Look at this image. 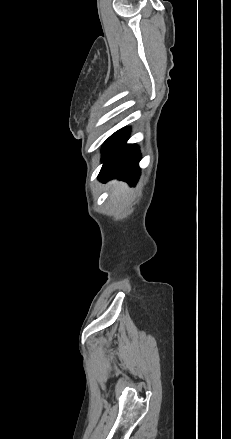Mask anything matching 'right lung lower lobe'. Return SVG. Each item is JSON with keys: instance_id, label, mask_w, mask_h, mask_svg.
Listing matches in <instances>:
<instances>
[{"instance_id": "1", "label": "right lung lower lobe", "mask_w": 231, "mask_h": 439, "mask_svg": "<svg viewBox=\"0 0 231 439\" xmlns=\"http://www.w3.org/2000/svg\"><path fill=\"white\" fill-rule=\"evenodd\" d=\"M129 128H123L114 133L103 145V166L99 179L106 181L117 178L134 185L140 175L138 166L141 159L139 147L126 144L129 138Z\"/></svg>"}]
</instances>
